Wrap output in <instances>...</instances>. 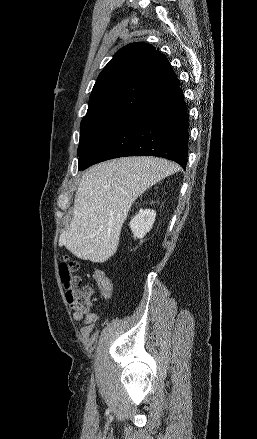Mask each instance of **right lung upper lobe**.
I'll list each match as a JSON object with an SVG mask.
<instances>
[{
    "label": "right lung upper lobe",
    "instance_id": "1",
    "mask_svg": "<svg viewBox=\"0 0 257 439\" xmlns=\"http://www.w3.org/2000/svg\"><path fill=\"white\" fill-rule=\"evenodd\" d=\"M179 86L168 59L146 43L121 48L99 74L86 116L129 117Z\"/></svg>",
    "mask_w": 257,
    "mask_h": 439
}]
</instances>
